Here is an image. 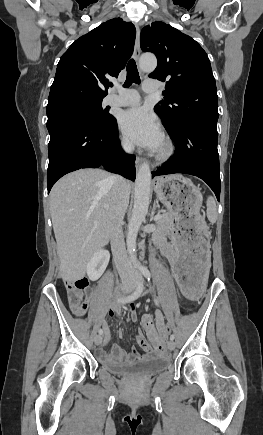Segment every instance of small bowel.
Segmentation results:
<instances>
[{
    "instance_id": "obj_1",
    "label": "small bowel",
    "mask_w": 263,
    "mask_h": 435,
    "mask_svg": "<svg viewBox=\"0 0 263 435\" xmlns=\"http://www.w3.org/2000/svg\"><path fill=\"white\" fill-rule=\"evenodd\" d=\"M157 241L173 273V270L176 269V262L181 260V256L178 255L177 250L171 244L164 242L162 238H158ZM109 315L120 316V307L118 305L113 306L109 310ZM129 318L133 322L137 321V315L133 310H130ZM142 324L147 331L150 341H153L151 345L142 333L136 335V341L144 351V354H141L136 348H132L130 352H126L120 346L111 344L109 351L103 348L98 349L96 352L97 358L103 362L132 363L142 358L152 356L153 353L155 355H164L167 344L163 341L164 335L166 334V325L163 315L161 313H156L155 316L145 314L142 317ZM100 326L104 333L105 345H109L111 337L109 326L104 320L100 321ZM119 335L123 336V333L120 332Z\"/></svg>"
}]
</instances>
